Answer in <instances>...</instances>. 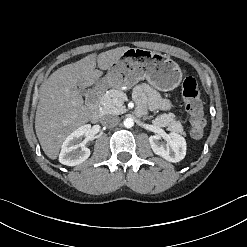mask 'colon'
<instances>
[{
    "label": "colon",
    "mask_w": 247,
    "mask_h": 247,
    "mask_svg": "<svg viewBox=\"0 0 247 247\" xmlns=\"http://www.w3.org/2000/svg\"><path fill=\"white\" fill-rule=\"evenodd\" d=\"M182 95L186 109L191 119V135L200 139L205 131L206 120L204 118L203 102L195 78L185 77L182 84Z\"/></svg>",
    "instance_id": "obj_1"
}]
</instances>
